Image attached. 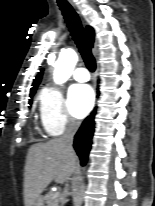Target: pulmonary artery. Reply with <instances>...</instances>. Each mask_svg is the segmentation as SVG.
<instances>
[{
	"mask_svg": "<svg viewBox=\"0 0 155 206\" xmlns=\"http://www.w3.org/2000/svg\"><path fill=\"white\" fill-rule=\"evenodd\" d=\"M73 78L78 82H86L90 79V75L84 67H79L73 73Z\"/></svg>",
	"mask_w": 155,
	"mask_h": 206,
	"instance_id": "obj_1",
	"label": "pulmonary artery"
}]
</instances>
